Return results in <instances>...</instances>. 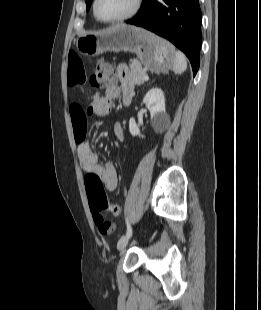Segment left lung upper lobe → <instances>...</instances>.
Wrapping results in <instances>:
<instances>
[{"label":"left lung upper lobe","mask_w":261,"mask_h":310,"mask_svg":"<svg viewBox=\"0 0 261 310\" xmlns=\"http://www.w3.org/2000/svg\"><path fill=\"white\" fill-rule=\"evenodd\" d=\"M85 2H86L87 10H89L92 0H85Z\"/></svg>","instance_id":"5c2ea615"}]
</instances>
